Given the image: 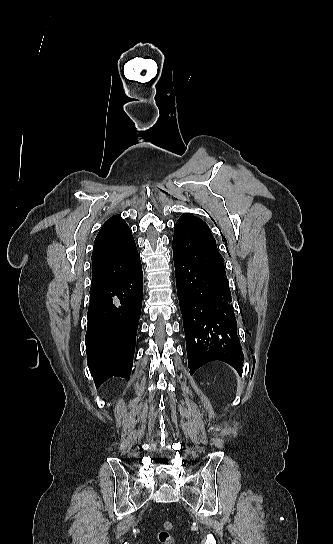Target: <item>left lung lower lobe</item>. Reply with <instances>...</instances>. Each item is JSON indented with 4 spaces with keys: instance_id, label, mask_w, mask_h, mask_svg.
Instances as JSON below:
<instances>
[{
    "instance_id": "left-lung-lower-lobe-1",
    "label": "left lung lower lobe",
    "mask_w": 333,
    "mask_h": 544,
    "mask_svg": "<svg viewBox=\"0 0 333 544\" xmlns=\"http://www.w3.org/2000/svg\"><path fill=\"white\" fill-rule=\"evenodd\" d=\"M173 257L190 373L213 360L240 373L244 355L228 283L181 253L173 251Z\"/></svg>"
}]
</instances>
